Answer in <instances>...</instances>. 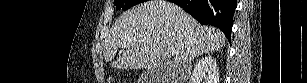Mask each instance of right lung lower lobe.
<instances>
[{"mask_svg": "<svg viewBox=\"0 0 307 83\" xmlns=\"http://www.w3.org/2000/svg\"><path fill=\"white\" fill-rule=\"evenodd\" d=\"M201 24L219 28L230 41L237 0H171Z\"/></svg>", "mask_w": 307, "mask_h": 83, "instance_id": "obj_1", "label": "right lung lower lobe"}]
</instances>
